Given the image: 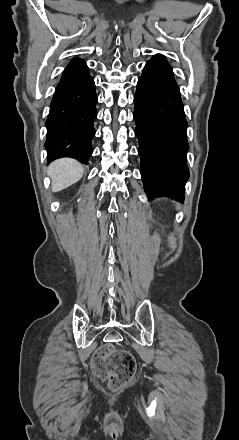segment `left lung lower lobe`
Segmentation results:
<instances>
[{"instance_id": "obj_1", "label": "left lung lower lobe", "mask_w": 239, "mask_h": 440, "mask_svg": "<svg viewBox=\"0 0 239 440\" xmlns=\"http://www.w3.org/2000/svg\"><path fill=\"white\" fill-rule=\"evenodd\" d=\"M141 174L149 199L168 195L184 200L189 177L187 121L174 73L164 56L143 69L134 97Z\"/></svg>"}]
</instances>
